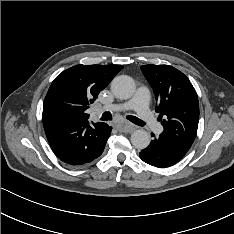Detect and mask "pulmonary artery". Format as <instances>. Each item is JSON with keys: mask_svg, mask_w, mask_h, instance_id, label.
Instances as JSON below:
<instances>
[{"mask_svg": "<svg viewBox=\"0 0 234 234\" xmlns=\"http://www.w3.org/2000/svg\"><path fill=\"white\" fill-rule=\"evenodd\" d=\"M148 101V89L146 87H140L136 92L134 98L130 101L112 104L105 107V109L113 112L135 109L139 117L148 125L149 128L160 131V125L154 120L153 114L149 110Z\"/></svg>", "mask_w": 234, "mask_h": 234, "instance_id": "obj_1", "label": "pulmonary artery"}]
</instances>
